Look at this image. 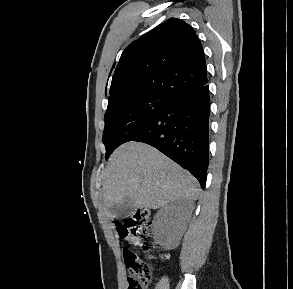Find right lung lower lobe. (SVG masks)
I'll return each mask as SVG.
<instances>
[{
	"label": "right lung lower lobe",
	"instance_id": "98d812e1",
	"mask_svg": "<svg viewBox=\"0 0 293 289\" xmlns=\"http://www.w3.org/2000/svg\"><path fill=\"white\" fill-rule=\"evenodd\" d=\"M209 86L172 100L128 141L150 144L205 186L209 162Z\"/></svg>",
	"mask_w": 293,
	"mask_h": 289
}]
</instances>
